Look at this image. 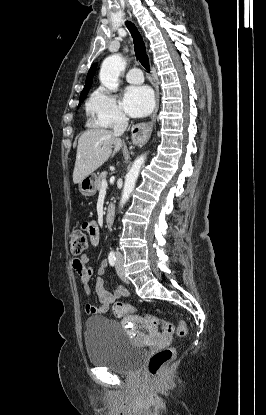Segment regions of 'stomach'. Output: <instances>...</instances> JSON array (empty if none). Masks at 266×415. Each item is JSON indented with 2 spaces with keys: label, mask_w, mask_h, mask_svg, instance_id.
<instances>
[{
  "label": "stomach",
  "mask_w": 266,
  "mask_h": 415,
  "mask_svg": "<svg viewBox=\"0 0 266 415\" xmlns=\"http://www.w3.org/2000/svg\"><path fill=\"white\" fill-rule=\"evenodd\" d=\"M96 181L97 177L95 174H90L83 178L79 183V191L83 196L89 197L96 193Z\"/></svg>",
  "instance_id": "stomach-1"
}]
</instances>
